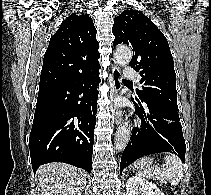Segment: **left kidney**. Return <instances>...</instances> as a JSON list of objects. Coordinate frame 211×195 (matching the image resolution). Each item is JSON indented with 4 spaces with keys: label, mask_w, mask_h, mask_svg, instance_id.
Here are the masks:
<instances>
[{
    "label": "left kidney",
    "mask_w": 211,
    "mask_h": 195,
    "mask_svg": "<svg viewBox=\"0 0 211 195\" xmlns=\"http://www.w3.org/2000/svg\"><path fill=\"white\" fill-rule=\"evenodd\" d=\"M127 195H165L156 184L139 176H132L126 182Z\"/></svg>",
    "instance_id": "1"
}]
</instances>
